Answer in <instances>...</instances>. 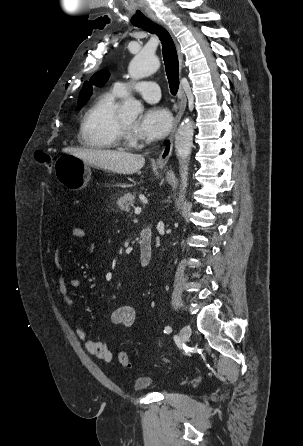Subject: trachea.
<instances>
[{
	"instance_id": "3493384b",
	"label": "trachea",
	"mask_w": 303,
	"mask_h": 446,
	"mask_svg": "<svg viewBox=\"0 0 303 446\" xmlns=\"http://www.w3.org/2000/svg\"><path fill=\"white\" fill-rule=\"evenodd\" d=\"M135 26L158 35L162 43L163 58L170 92L172 95H176L179 89V63L176 48L169 32L151 20L135 24Z\"/></svg>"
}]
</instances>
